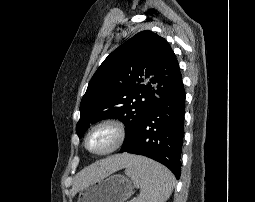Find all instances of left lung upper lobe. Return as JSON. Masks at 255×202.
<instances>
[{
	"label": "left lung upper lobe",
	"instance_id": "obj_1",
	"mask_svg": "<svg viewBox=\"0 0 255 202\" xmlns=\"http://www.w3.org/2000/svg\"><path fill=\"white\" fill-rule=\"evenodd\" d=\"M182 84L178 61L168 42L142 31L115 49L91 78L80 104L79 137L90 124L118 118L127 132L124 148L150 110Z\"/></svg>",
	"mask_w": 255,
	"mask_h": 202
}]
</instances>
